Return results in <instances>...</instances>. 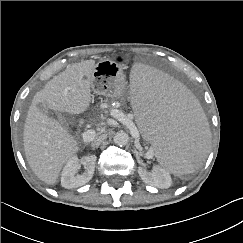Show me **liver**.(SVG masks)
I'll return each instance as SVG.
<instances>
[{"label":"liver","instance_id":"liver-1","mask_svg":"<svg viewBox=\"0 0 243 243\" xmlns=\"http://www.w3.org/2000/svg\"><path fill=\"white\" fill-rule=\"evenodd\" d=\"M95 65V60H85L68 67L34 96L29 107L23 133L25 156L34 174L48 185L57 182L62 167L79 146L57 120L39 110L38 104L74 115L85 112L92 99Z\"/></svg>","mask_w":243,"mask_h":243}]
</instances>
